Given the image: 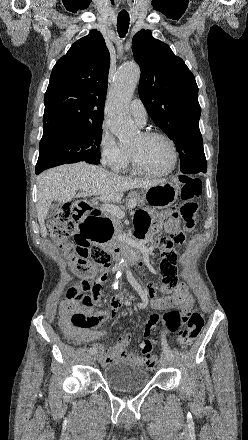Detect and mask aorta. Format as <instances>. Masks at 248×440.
Listing matches in <instances>:
<instances>
[{"label":"aorta","instance_id":"762f6f07","mask_svg":"<svg viewBox=\"0 0 248 440\" xmlns=\"http://www.w3.org/2000/svg\"><path fill=\"white\" fill-rule=\"evenodd\" d=\"M140 78V68L135 63L122 65L115 77L114 84L108 97L107 122L111 132L117 136L120 143H131L138 134V129L133 125L129 116V103ZM124 268V260L116 274L114 287L118 286V278L121 277Z\"/></svg>","mask_w":248,"mask_h":440}]
</instances>
